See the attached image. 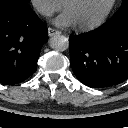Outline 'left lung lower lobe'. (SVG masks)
Returning <instances> with one entry per match:
<instances>
[{
	"label": "left lung lower lobe",
	"instance_id": "left-lung-lower-lobe-1",
	"mask_svg": "<svg viewBox=\"0 0 128 128\" xmlns=\"http://www.w3.org/2000/svg\"><path fill=\"white\" fill-rule=\"evenodd\" d=\"M69 41L72 70L83 84L102 88L128 79V12Z\"/></svg>",
	"mask_w": 128,
	"mask_h": 128
}]
</instances>
